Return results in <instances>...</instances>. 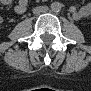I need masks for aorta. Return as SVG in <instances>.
<instances>
[{
    "instance_id": "1",
    "label": "aorta",
    "mask_w": 91,
    "mask_h": 91,
    "mask_svg": "<svg viewBox=\"0 0 91 91\" xmlns=\"http://www.w3.org/2000/svg\"><path fill=\"white\" fill-rule=\"evenodd\" d=\"M50 7L53 12H59L62 8V4L60 2H53Z\"/></svg>"
}]
</instances>
